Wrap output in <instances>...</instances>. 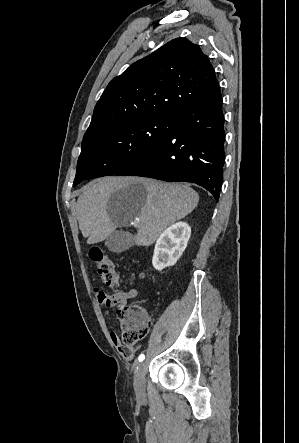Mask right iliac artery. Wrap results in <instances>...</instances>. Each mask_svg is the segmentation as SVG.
Returning <instances> with one entry per match:
<instances>
[{"instance_id": "82829eb1", "label": "right iliac artery", "mask_w": 299, "mask_h": 443, "mask_svg": "<svg viewBox=\"0 0 299 443\" xmlns=\"http://www.w3.org/2000/svg\"><path fill=\"white\" fill-rule=\"evenodd\" d=\"M144 359H145V355L144 354L139 355L138 360L140 362H142Z\"/></svg>"}]
</instances>
